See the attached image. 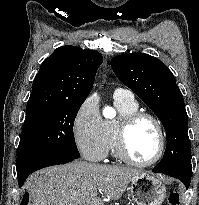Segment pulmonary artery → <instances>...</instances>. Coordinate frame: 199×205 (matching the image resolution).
<instances>
[{
	"mask_svg": "<svg viewBox=\"0 0 199 205\" xmlns=\"http://www.w3.org/2000/svg\"><path fill=\"white\" fill-rule=\"evenodd\" d=\"M115 95H122L125 97H129V98H133L132 93L127 90V89H123V88H118L115 90Z\"/></svg>",
	"mask_w": 199,
	"mask_h": 205,
	"instance_id": "pulmonary-artery-1",
	"label": "pulmonary artery"
}]
</instances>
